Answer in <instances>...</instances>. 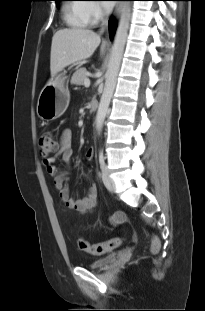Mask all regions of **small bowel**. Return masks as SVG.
<instances>
[{
	"label": "small bowel",
	"mask_w": 205,
	"mask_h": 311,
	"mask_svg": "<svg viewBox=\"0 0 205 311\" xmlns=\"http://www.w3.org/2000/svg\"><path fill=\"white\" fill-rule=\"evenodd\" d=\"M72 132L69 129H65L61 135V147L58 152V156L66 161L67 166L63 169L55 166L56 157H48L43 160V165L47 172L53 177V185L61 201L70 209L78 211L80 213H87L93 210L97 201L96 187L91 185L88 189V193L81 199H74L70 196L68 189L69 163L72 158ZM95 151L93 148H89L86 151V159L91 161L94 158Z\"/></svg>",
	"instance_id": "obj_1"
}]
</instances>
